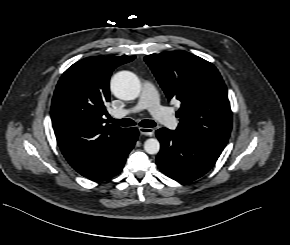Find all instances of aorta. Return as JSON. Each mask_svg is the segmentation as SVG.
<instances>
[{
  "label": "aorta",
  "instance_id": "1",
  "mask_svg": "<svg viewBox=\"0 0 290 245\" xmlns=\"http://www.w3.org/2000/svg\"><path fill=\"white\" fill-rule=\"evenodd\" d=\"M113 94L122 100H134L141 91L138 77L129 71H121L114 75L111 80ZM146 153L154 155L160 151V143L156 138H149L144 143Z\"/></svg>",
  "mask_w": 290,
  "mask_h": 245
}]
</instances>
